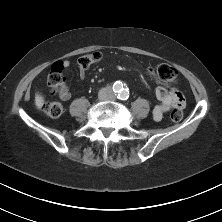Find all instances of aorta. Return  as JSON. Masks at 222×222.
<instances>
[{"instance_id": "762f6f07", "label": "aorta", "mask_w": 222, "mask_h": 222, "mask_svg": "<svg viewBox=\"0 0 222 222\" xmlns=\"http://www.w3.org/2000/svg\"><path fill=\"white\" fill-rule=\"evenodd\" d=\"M126 94H127L126 91H124V90H122V89L120 90V95H121V96L126 95Z\"/></svg>"}]
</instances>
